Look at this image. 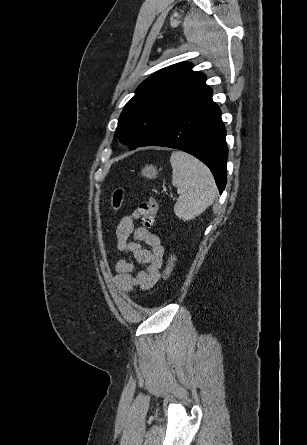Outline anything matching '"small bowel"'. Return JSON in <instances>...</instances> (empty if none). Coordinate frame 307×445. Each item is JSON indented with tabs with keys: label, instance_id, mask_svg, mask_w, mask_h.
<instances>
[{
	"label": "small bowel",
	"instance_id": "1",
	"mask_svg": "<svg viewBox=\"0 0 307 445\" xmlns=\"http://www.w3.org/2000/svg\"><path fill=\"white\" fill-rule=\"evenodd\" d=\"M141 217L142 213L138 207L120 220L116 230L117 250L122 254L131 253L138 263L145 265L144 270L134 272L135 266L130 260L120 259L114 263V270L117 273L115 282L123 293H130L137 287L143 291L148 290L161 276L164 247L160 238L148 229L134 228V221ZM132 234L134 240L130 241L129 237Z\"/></svg>",
	"mask_w": 307,
	"mask_h": 445
}]
</instances>
